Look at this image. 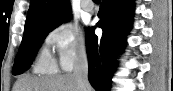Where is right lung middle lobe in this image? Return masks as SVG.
I'll return each instance as SVG.
<instances>
[{
    "instance_id": "dd1d6c3e",
    "label": "right lung middle lobe",
    "mask_w": 173,
    "mask_h": 91,
    "mask_svg": "<svg viewBox=\"0 0 173 91\" xmlns=\"http://www.w3.org/2000/svg\"><path fill=\"white\" fill-rule=\"evenodd\" d=\"M69 19L70 17L54 25H44L24 32L22 43L16 56L12 73L14 75H19L26 71L30 67L37 50L48 33Z\"/></svg>"
}]
</instances>
